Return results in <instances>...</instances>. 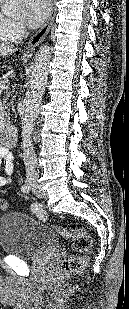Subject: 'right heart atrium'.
I'll return each mask as SVG.
<instances>
[{"mask_svg": "<svg viewBox=\"0 0 129 309\" xmlns=\"http://www.w3.org/2000/svg\"><path fill=\"white\" fill-rule=\"evenodd\" d=\"M11 32L12 35L18 40L26 34V29L22 22L11 20Z\"/></svg>", "mask_w": 129, "mask_h": 309, "instance_id": "right-heart-atrium-1", "label": "right heart atrium"}]
</instances>
